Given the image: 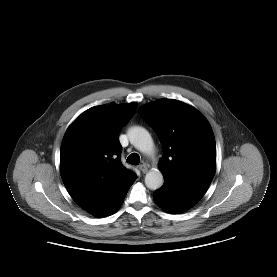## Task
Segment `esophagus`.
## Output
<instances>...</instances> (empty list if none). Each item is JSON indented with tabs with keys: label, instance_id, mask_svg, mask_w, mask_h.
I'll use <instances>...</instances> for the list:
<instances>
[{
	"label": "esophagus",
	"instance_id": "obj_1",
	"mask_svg": "<svg viewBox=\"0 0 277 277\" xmlns=\"http://www.w3.org/2000/svg\"><path fill=\"white\" fill-rule=\"evenodd\" d=\"M139 169L142 173H147L148 172V166L146 164L139 165Z\"/></svg>",
	"mask_w": 277,
	"mask_h": 277
}]
</instances>
